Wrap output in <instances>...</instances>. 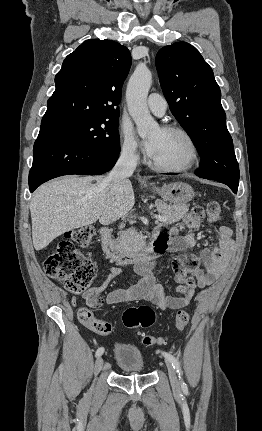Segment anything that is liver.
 <instances>
[{"mask_svg":"<svg viewBox=\"0 0 262 431\" xmlns=\"http://www.w3.org/2000/svg\"><path fill=\"white\" fill-rule=\"evenodd\" d=\"M101 176H66L39 187L31 200L32 239L39 251L56 237L98 219L110 223L125 216L134 206L131 182L126 179L111 190Z\"/></svg>","mask_w":262,"mask_h":431,"instance_id":"6515ba94","label":"liver"}]
</instances>
